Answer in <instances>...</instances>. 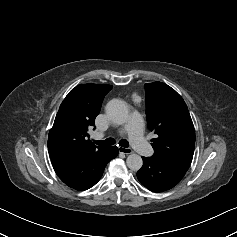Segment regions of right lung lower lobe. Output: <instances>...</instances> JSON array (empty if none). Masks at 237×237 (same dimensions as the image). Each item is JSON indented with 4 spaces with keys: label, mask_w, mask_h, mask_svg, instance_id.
<instances>
[{
    "label": "right lung lower lobe",
    "mask_w": 237,
    "mask_h": 237,
    "mask_svg": "<svg viewBox=\"0 0 237 237\" xmlns=\"http://www.w3.org/2000/svg\"><path fill=\"white\" fill-rule=\"evenodd\" d=\"M54 171L69 187L87 190L101 178L105 166L118 155L116 146L107 147L86 157H75L56 149H48Z\"/></svg>",
    "instance_id": "obj_1"
}]
</instances>
